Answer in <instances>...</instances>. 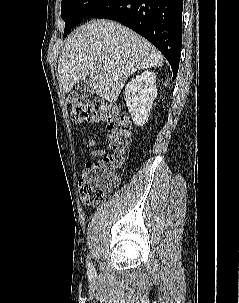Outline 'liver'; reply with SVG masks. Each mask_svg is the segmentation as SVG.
Here are the masks:
<instances>
[{
    "label": "liver",
    "instance_id": "6515ba94",
    "mask_svg": "<svg viewBox=\"0 0 239 303\" xmlns=\"http://www.w3.org/2000/svg\"><path fill=\"white\" fill-rule=\"evenodd\" d=\"M163 56L146 39L110 20H93L74 30L58 60L65 93L90 78L94 92L115 102L125 82L137 70L161 67Z\"/></svg>",
    "mask_w": 239,
    "mask_h": 303
}]
</instances>
